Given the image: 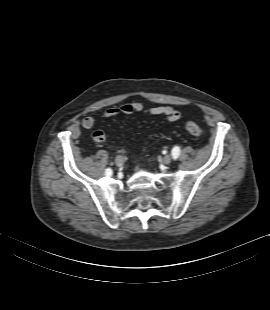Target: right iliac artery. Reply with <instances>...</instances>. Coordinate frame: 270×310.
<instances>
[{"label":"right iliac artery","instance_id":"right-iliac-artery-1","mask_svg":"<svg viewBox=\"0 0 270 310\" xmlns=\"http://www.w3.org/2000/svg\"><path fill=\"white\" fill-rule=\"evenodd\" d=\"M106 174L109 175V176L112 175V170L110 168H107L106 169Z\"/></svg>","mask_w":270,"mask_h":310}]
</instances>
